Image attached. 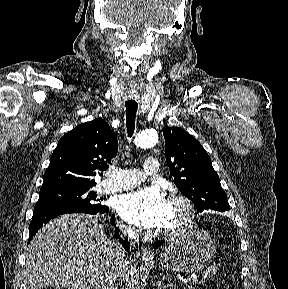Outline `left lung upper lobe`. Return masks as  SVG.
Returning <instances> with one entry per match:
<instances>
[{
    "label": "left lung upper lobe",
    "instance_id": "1",
    "mask_svg": "<svg viewBox=\"0 0 288 289\" xmlns=\"http://www.w3.org/2000/svg\"><path fill=\"white\" fill-rule=\"evenodd\" d=\"M166 162L180 192L198 212L230 209L211 159L200 142L181 128L164 130Z\"/></svg>",
    "mask_w": 288,
    "mask_h": 289
}]
</instances>
